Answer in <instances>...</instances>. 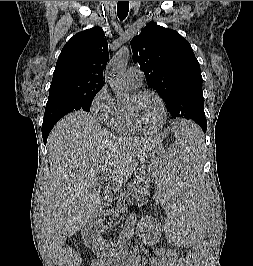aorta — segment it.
<instances>
[{
    "label": "aorta",
    "instance_id": "aorta-1",
    "mask_svg": "<svg viewBox=\"0 0 253 266\" xmlns=\"http://www.w3.org/2000/svg\"><path fill=\"white\" fill-rule=\"evenodd\" d=\"M130 56L131 50L128 47L121 48L105 70V79L109 82L117 96H125L129 90L124 73Z\"/></svg>",
    "mask_w": 253,
    "mask_h": 266
}]
</instances>
